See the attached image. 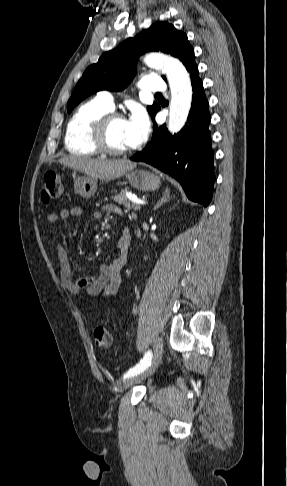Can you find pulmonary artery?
Wrapping results in <instances>:
<instances>
[{"mask_svg":"<svg viewBox=\"0 0 287 486\" xmlns=\"http://www.w3.org/2000/svg\"><path fill=\"white\" fill-rule=\"evenodd\" d=\"M140 88L145 92H163L166 90V85L164 81L156 76V75H149L145 76L140 82ZM97 99H99L102 103L107 105L109 108H113V96L107 91H101L97 95Z\"/></svg>","mask_w":287,"mask_h":486,"instance_id":"e3ab8cb5","label":"pulmonary artery"}]
</instances>
